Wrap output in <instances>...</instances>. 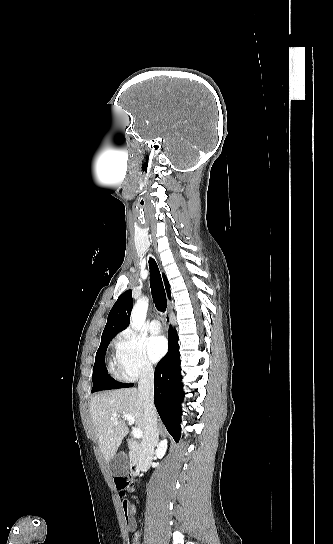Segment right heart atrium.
<instances>
[{
    "mask_svg": "<svg viewBox=\"0 0 333 544\" xmlns=\"http://www.w3.org/2000/svg\"><path fill=\"white\" fill-rule=\"evenodd\" d=\"M115 365L119 377L128 382L150 377L154 367L149 360L144 342L131 330H124L113 340Z\"/></svg>",
    "mask_w": 333,
    "mask_h": 544,
    "instance_id": "1",
    "label": "right heart atrium"
}]
</instances>
